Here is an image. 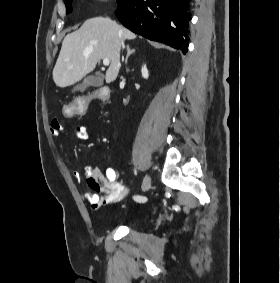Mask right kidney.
<instances>
[{
  "label": "right kidney",
  "mask_w": 280,
  "mask_h": 283,
  "mask_svg": "<svg viewBox=\"0 0 280 283\" xmlns=\"http://www.w3.org/2000/svg\"><path fill=\"white\" fill-rule=\"evenodd\" d=\"M141 73H142L143 78H145V79L148 78L149 74H148V70H147L145 65L142 67Z\"/></svg>",
  "instance_id": "obj_1"
}]
</instances>
